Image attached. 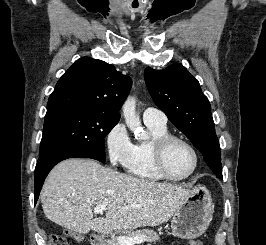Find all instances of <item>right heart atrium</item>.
<instances>
[{"label": "right heart atrium", "mask_w": 266, "mask_h": 245, "mask_svg": "<svg viewBox=\"0 0 266 245\" xmlns=\"http://www.w3.org/2000/svg\"><path fill=\"white\" fill-rule=\"evenodd\" d=\"M104 145L107 159L111 166L122 169L129 168L133 158L135 144L123 123H115L106 132Z\"/></svg>", "instance_id": "1"}]
</instances>
